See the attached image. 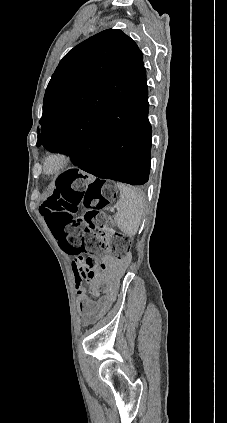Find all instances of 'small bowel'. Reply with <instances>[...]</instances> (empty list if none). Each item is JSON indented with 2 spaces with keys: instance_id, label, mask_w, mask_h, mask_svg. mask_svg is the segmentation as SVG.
Segmentation results:
<instances>
[{
  "instance_id": "small-bowel-1",
  "label": "small bowel",
  "mask_w": 227,
  "mask_h": 423,
  "mask_svg": "<svg viewBox=\"0 0 227 423\" xmlns=\"http://www.w3.org/2000/svg\"><path fill=\"white\" fill-rule=\"evenodd\" d=\"M124 267L123 263H117L113 258L107 256L101 263V269L108 271V278H112L119 273ZM76 291L79 296V310L83 318L84 325H90L100 319L110 308L113 301V295H109L106 299L95 302L90 300L85 294V289L77 282Z\"/></svg>"
}]
</instances>
